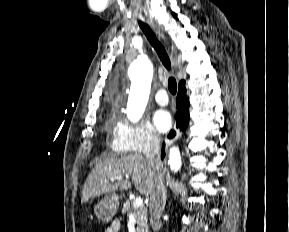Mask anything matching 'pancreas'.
I'll list each match as a JSON object with an SVG mask.
<instances>
[{
  "label": "pancreas",
  "mask_w": 289,
  "mask_h": 232,
  "mask_svg": "<svg viewBox=\"0 0 289 232\" xmlns=\"http://www.w3.org/2000/svg\"><path fill=\"white\" fill-rule=\"evenodd\" d=\"M132 201L128 200L124 203L122 213L126 216H129L131 211H135L136 217V232H148L147 225V209L144 205L135 208Z\"/></svg>",
  "instance_id": "1"
}]
</instances>
